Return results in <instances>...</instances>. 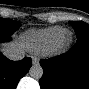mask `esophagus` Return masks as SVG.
Here are the masks:
<instances>
[{"label": "esophagus", "instance_id": "1", "mask_svg": "<svg viewBox=\"0 0 89 89\" xmlns=\"http://www.w3.org/2000/svg\"><path fill=\"white\" fill-rule=\"evenodd\" d=\"M32 63H33L34 65H37V64L39 63L38 57L32 56Z\"/></svg>", "mask_w": 89, "mask_h": 89}]
</instances>
